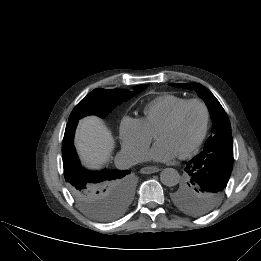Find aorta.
Instances as JSON below:
<instances>
[{
    "instance_id": "obj_1",
    "label": "aorta",
    "mask_w": 261,
    "mask_h": 261,
    "mask_svg": "<svg viewBox=\"0 0 261 261\" xmlns=\"http://www.w3.org/2000/svg\"><path fill=\"white\" fill-rule=\"evenodd\" d=\"M160 180L164 185L172 187L179 183L180 175L174 168H165L160 174Z\"/></svg>"
}]
</instances>
